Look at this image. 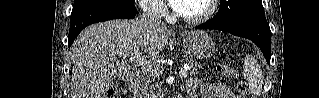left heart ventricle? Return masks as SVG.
<instances>
[{
  "label": "left heart ventricle",
  "instance_id": "1",
  "mask_svg": "<svg viewBox=\"0 0 319 98\" xmlns=\"http://www.w3.org/2000/svg\"><path fill=\"white\" fill-rule=\"evenodd\" d=\"M206 0H189L179 12L185 16L195 17L202 14L206 10Z\"/></svg>",
  "mask_w": 319,
  "mask_h": 98
}]
</instances>
